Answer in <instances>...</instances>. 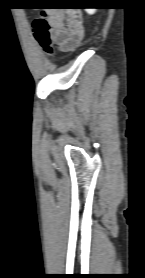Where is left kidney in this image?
<instances>
[{
  "label": "left kidney",
  "mask_w": 145,
  "mask_h": 278,
  "mask_svg": "<svg viewBox=\"0 0 145 278\" xmlns=\"http://www.w3.org/2000/svg\"><path fill=\"white\" fill-rule=\"evenodd\" d=\"M85 10L88 14H94L96 11V8H86Z\"/></svg>",
  "instance_id": "5707ae66"
}]
</instances>
